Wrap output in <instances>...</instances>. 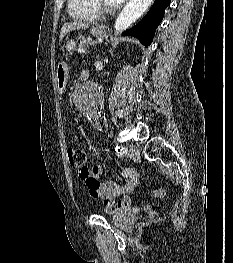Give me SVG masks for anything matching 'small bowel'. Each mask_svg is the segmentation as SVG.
Segmentation results:
<instances>
[{"mask_svg": "<svg viewBox=\"0 0 233 263\" xmlns=\"http://www.w3.org/2000/svg\"><path fill=\"white\" fill-rule=\"evenodd\" d=\"M87 169V177H82L80 173L79 176L85 181L90 196L103 201L106 212H115L129 206L130 199L127 194L132 192L138 183V173L134 169L127 168L122 171V176L126 179L124 185L103 182V168L100 165Z\"/></svg>", "mask_w": 233, "mask_h": 263, "instance_id": "obj_1", "label": "small bowel"}]
</instances>
